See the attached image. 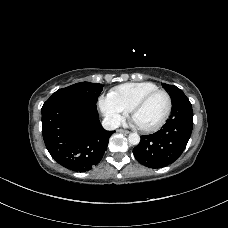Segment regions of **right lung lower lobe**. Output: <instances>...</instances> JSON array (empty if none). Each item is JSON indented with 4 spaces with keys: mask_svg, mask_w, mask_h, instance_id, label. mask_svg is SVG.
Returning a JSON list of instances; mask_svg holds the SVG:
<instances>
[{
    "mask_svg": "<svg viewBox=\"0 0 228 228\" xmlns=\"http://www.w3.org/2000/svg\"><path fill=\"white\" fill-rule=\"evenodd\" d=\"M96 104L52 95L42 107V133L47 150L60 165L85 172L100 162L113 131L98 120Z\"/></svg>",
    "mask_w": 228,
    "mask_h": 228,
    "instance_id": "obj_1",
    "label": "right lung lower lobe"
}]
</instances>
